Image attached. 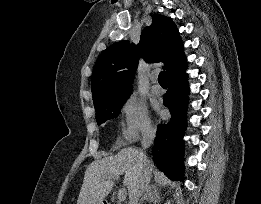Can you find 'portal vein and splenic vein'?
Masks as SVG:
<instances>
[{"mask_svg":"<svg viewBox=\"0 0 261 204\" xmlns=\"http://www.w3.org/2000/svg\"><path fill=\"white\" fill-rule=\"evenodd\" d=\"M108 178L109 179H113V180H118L119 179L118 176H109ZM126 194H127V192H126L125 188L119 189V191H118V199H119V201H124L125 198H126Z\"/></svg>","mask_w":261,"mask_h":204,"instance_id":"obj_1","label":"portal vein and splenic vein"}]
</instances>
